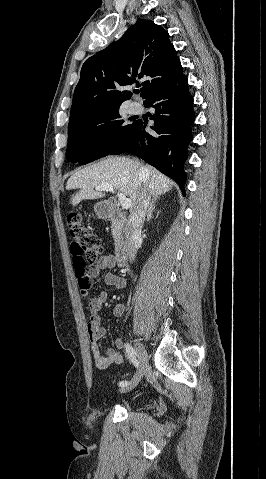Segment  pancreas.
Here are the masks:
<instances>
[{
  "mask_svg": "<svg viewBox=\"0 0 266 479\" xmlns=\"http://www.w3.org/2000/svg\"><path fill=\"white\" fill-rule=\"evenodd\" d=\"M112 235L115 241V250L118 251L121 248L122 236L121 232L116 230L115 224H112Z\"/></svg>",
  "mask_w": 266,
  "mask_h": 479,
  "instance_id": "cf45deb5",
  "label": "pancreas"
}]
</instances>
